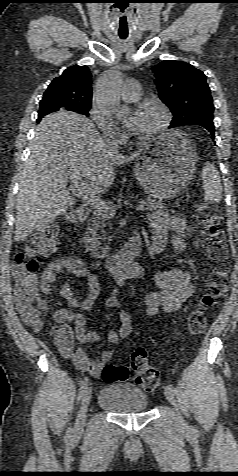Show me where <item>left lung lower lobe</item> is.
Returning <instances> with one entry per match:
<instances>
[{
  "mask_svg": "<svg viewBox=\"0 0 238 476\" xmlns=\"http://www.w3.org/2000/svg\"><path fill=\"white\" fill-rule=\"evenodd\" d=\"M200 126L206 128V129L211 133L212 139H214V137H215V136H214V131H215L214 125L203 124V125H200Z\"/></svg>",
  "mask_w": 238,
  "mask_h": 476,
  "instance_id": "1",
  "label": "left lung lower lobe"
}]
</instances>
